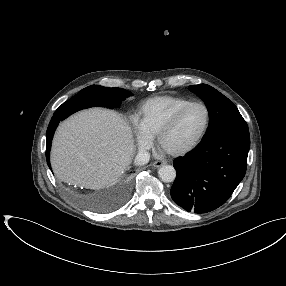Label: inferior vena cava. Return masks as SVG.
Returning <instances> with one entry per match:
<instances>
[{
	"mask_svg": "<svg viewBox=\"0 0 286 286\" xmlns=\"http://www.w3.org/2000/svg\"><path fill=\"white\" fill-rule=\"evenodd\" d=\"M150 160V154L146 151H140L137 153L135 157L136 165H144L147 164Z\"/></svg>",
	"mask_w": 286,
	"mask_h": 286,
	"instance_id": "obj_1",
	"label": "inferior vena cava"
}]
</instances>
